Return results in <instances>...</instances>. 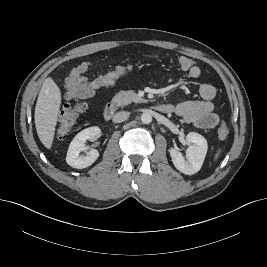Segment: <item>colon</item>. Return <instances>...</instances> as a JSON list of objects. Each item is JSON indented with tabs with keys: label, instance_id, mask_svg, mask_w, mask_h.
<instances>
[{
	"label": "colon",
	"instance_id": "5ec220e1",
	"mask_svg": "<svg viewBox=\"0 0 267 267\" xmlns=\"http://www.w3.org/2000/svg\"><path fill=\"white\" fill-rule=\"evenodd\" d=\"M179 65L183 70H190L196 65L195 61L188 57H182L179 59ZM134 71L132 65H122L115 69L108 71L101 75V86L108 87L114 84L119 78L128 75ZM87 103L81 98H76L73 103L65 104L63 111L59 117L56 136L60 139L65 138L73 126L75 125L78 117L86 110ZM228 127L225 123H221L218 127V136L224 139L228 135Z\"/></svg>",
	"mask_w": 267,
	"mask_h": 267
}]
</instances>
